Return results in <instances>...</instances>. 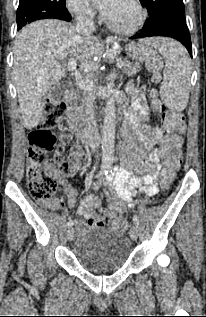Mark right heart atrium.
Wrapping results in <instances>:
<instances>
[{"mask_svg": "<svg viewBox=\"0 0 206 317\" xmlns=\"http://www.w3.org/2000/svg\"><path fill=\"white\" fill-rule=\"evenodd\" d=\"M69 11L78 18H92L94 10L86 0H67Z\"/></svg>", "mask_w": 206, "mask_h": 317, "instance_id": "1", "label": "right heart atrium"}]
</instances>
